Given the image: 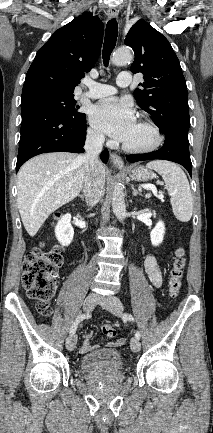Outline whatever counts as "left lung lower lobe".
I'll return each mask as SVG.
<instances>
[{
	"label": "left lung lower lobe",
	"instance_id": "0a47b994",
	"mask_svg": "<svg viewBox=\"0 0 213 433\" xmlns=\"http://www.w3.org/2000/svg\"><path fill=\"white\" fill-rule=\"evenodd\" d=\"M126 158L131 163L151 159L173 161L184 166L189 172L190 176L192 175V163L189 154L188 136L179 132H170L165 134L164 145L157 151L145 154L128 155Z\"/></svg>",
	"mask_w": 213,
	"mask_h": 433
}]
</instances>
